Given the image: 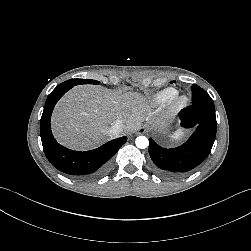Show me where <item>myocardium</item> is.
<instances>
[{"label": "myocardium", "instance_id": "myocardium-1", "mask_svg": "<svg viewBox=\"0 0 251 251\" xmlns=\"http://www.w3.org/2000/svg\"><path fill=\"white\" fill-rule=\"evenodd\" d=\"M188 103V98L184 94H177L172 97L169 108L172 114H176L181 111Z\"/></svg>", "mask_w": 251, "mask_h": 251}]
</instances>
